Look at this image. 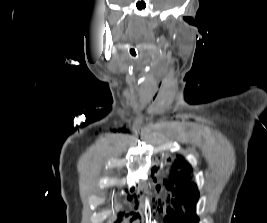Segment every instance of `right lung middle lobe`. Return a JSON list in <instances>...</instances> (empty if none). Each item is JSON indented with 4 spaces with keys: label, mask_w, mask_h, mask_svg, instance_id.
<instances>
[{
    "label": "right lung middle lobe",
    "mask_w": 267,
    "mask_h": 223,
    "mask_svg": "<svg viewBox=\"0 0 267 223\" xmlns=\"http://www.w3.org/2000/svg\"><path fill=\"white\" fill-rule=\"evenodd\" d=\"M122 215H123L122 213L119 214V216H122Z\"/></svg>",
    "instance_id": "dd1d6c3e"
}]
</instances>
